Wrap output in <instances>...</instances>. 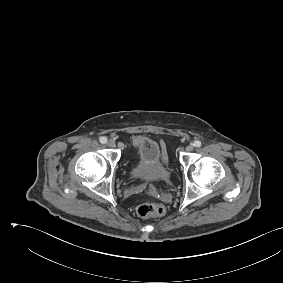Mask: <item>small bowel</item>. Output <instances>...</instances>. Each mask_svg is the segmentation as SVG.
<instances>
[{
    "mask_svg": "<svg viewBox=\"0 0 283 283\" xmlns=\"http://www.w3.org/2000/svg\"><path fill=\"white\" fill-rule=\"evenodd\" d=\"M146 138L144 137H138L135 139V143L145 140ZM168 156H167V150H166V146L163 142H161V157H160V161L162 164H165L167 162Z\"/></svg>",
    "mask_w": 283,
    "mask_h": 283,
    "instance_id": "c3829d8e",
    "label": "small bowel"
}]
</instances>
